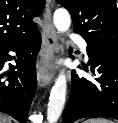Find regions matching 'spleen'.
Instances as JSON below:
<instances>
[{"mask_svg": "<svg viewBox=\"0 0 118 123\" xmlns=\"http://www.w3.org/2000/svg\"><path fill=\"white\" fill-rule=\"evenodd\" d=\"M84 123H113V122L105 118H90L84 121Z\"/></svg>", "mask_w": 118, "mask_h": 123, "instance_id": "spleen-1", "label": "spleen"}]
</instances>
